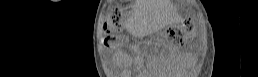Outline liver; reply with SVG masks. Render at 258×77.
I'll return each instance as SVG.
<instances>
[{"mask_svg":"<svg viewBox=\"0 0 258 77\" xmlns=\"http://www.w3.org/2000/svg\"><path fill=\"white\" fill-rule=\"evenodd\" d=\"M137 12L139 13L140 12V9L137 7Z\"/></svg>","mask_w":258,"mask_h":77,"instance_id":"obj_1","label":"liver"}]
</instances>
